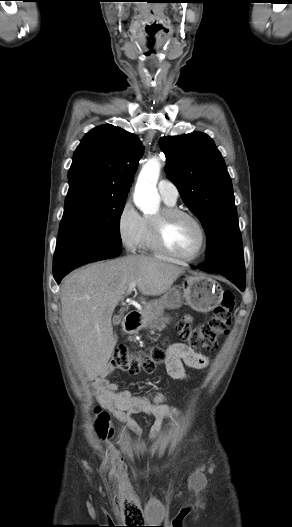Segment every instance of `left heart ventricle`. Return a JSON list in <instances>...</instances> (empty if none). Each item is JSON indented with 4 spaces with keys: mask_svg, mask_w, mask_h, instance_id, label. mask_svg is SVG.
<instances>
[{
    "mask_svg": "<svg viewBox=\"0 0 292 527\" xmlns=\"http://www.w3.org/2000/svg\"><path fill=\"white\" fill-rule=\"evenodd\" d=\"M158 214L159 212L154 216ZM166 242L177 254L190 256L198 250L201 234L193 220L185 216H178L167 225Z\"/></svg>",
    "mask_w": 292,
    "mask_h": 527,
    "instance_id": "b2bd125f",
    "label": "left heart ventricle"
}]
</instances>
